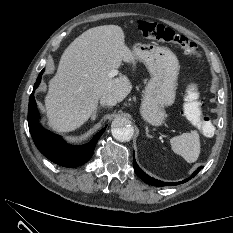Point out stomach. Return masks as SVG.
I'll return each mask as SVG.
<instances>
[{
  "instance_id": "0dacf381",
  "label": "stomach",
  "mask_w": 233,
  "mask_h": 233,
  "mask_svg": "<svg viewBox=\"0 0 233 233\" xmlns=\"http://www.w3.org/2000/svg\"><path fill=\"white\" fill-rule=\"evenodd\" d=\"M133 54L136 60L146 65L151 75L141 105V116L148 123L159 126L166 118L164 107L175 101L178 59L168 48L153 44L136 43Z\"/></svg>"
}]
</instances>
